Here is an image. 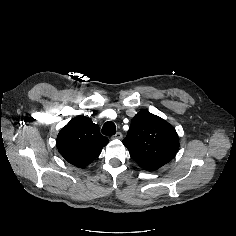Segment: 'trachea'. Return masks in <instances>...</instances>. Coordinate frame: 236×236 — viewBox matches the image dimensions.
Segmentation results:
<instances>
[{
  "instance_id": "trachea-1",
  "label": "trachea",
  "mask_w": 236,
  "mask_h": 236,
  "mask_svg": "<svg viewBox=\"0 0 236 236\" xmlns=\"http://www.w3.org/2000/svg\"><path fill=\"white\" fill-rule=\"evenodd\" d=\"M102 133L106 136H112L116 133V126L112 121H107L102 127Z\"/></svg>"
}]
</instances>
